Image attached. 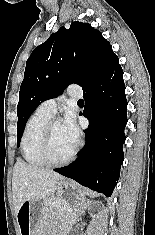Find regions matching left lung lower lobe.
I'll list each match as a JSON object with an SVG mask.
<instances>
[{
	"instance_id": "0a47b994",
	"label": "left lung lower lobe",
	"mask_w": 155,
	"mask_h": 235,
	"mask_svg": "<svg viewBox=\"0 0 155 235\" xmlns=\"http://www.w3.org/2000/svg\"><path fill=\"white\" fill-rule=\"evenodd\" d=\"M86 143L72 164L54 169L81 185L110 197L124 159L122 146L127 124L123 71L115 59L91 86L83 89Z\"/></svg>"
}]
</instances>
